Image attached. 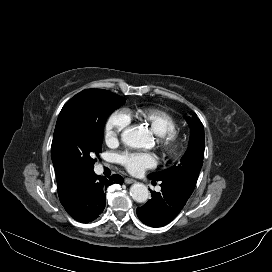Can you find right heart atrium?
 <instances>
[{
  "mask_svg": "<svg viewBox=\"0 0 272 272\" xmlns=\"http://www.w3.org/2000/svg\"><path fill=\"white\" fill-rule=\"evenodd\" d=\"M131 119L124 110L114 111L107 119L104 127V140L107 144H115L130 125Z\"/></svg>",
  "mask_w": 272,
  "mask_h": 272,
  "instance_id": "right-heart-atrium-1",
  "label": "right heart atrium"
}]
</instances>
